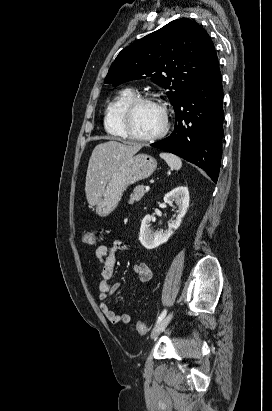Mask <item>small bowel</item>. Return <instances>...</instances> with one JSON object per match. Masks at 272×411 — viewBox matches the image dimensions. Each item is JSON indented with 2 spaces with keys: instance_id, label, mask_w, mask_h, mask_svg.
Here are the masks:
<instances>
[{
  "instance_id": "1",
  "label": "small bowel",
  "mask_w": 272,
  "mask_h": 411,
  "mask_svg": "<svg viewBox=\"0 0 272 411\" xmlns=\"http://www.w3.org/2000/svg\"><path fill=\"white\" fill-rule=\"evenodd\" d=\"M126 250H128L127 245L119 239L115 240L110 247L100 245L95 250V258L101 267V278L99 281L100 309L112 324L129 323L131 320L129 313L117 314L106 303L111 295L120 288L119 283L111 284V280L114 275L117 253ZM132 271L133 275L142 283L149 282L152 279L151 268L145 262L135 264Z\"/></svg>"
}]
</instances>
